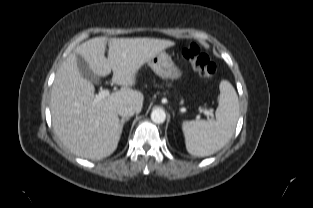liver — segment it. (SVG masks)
<instances>
[{"instance_id":"1","label":"liver","mask_w":313,"mask_h":208,"mask_svg":"<svg viewBox=\"0 0 313 208\" xmlns=\"http://www.w3.org/2000/svg\"><path fill=\"white\" fill-rule=\"evenodd\" d=\"M174 45L165 39L95 37L77 46L59 67L51 91L52 124L60 141L82 158L110 156L122 133L117 106L128 103L137 113L141 111L144 96L131 88L137 73L152 57ZM77 55L98 76L112 71V81L121 89L95 103L94 86L80 73Z\"/></svg>"}]
</instances>
